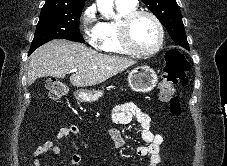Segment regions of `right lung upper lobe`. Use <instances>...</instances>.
I'll use <instances>...</instances> for the list:
<instances>
[{
	"mask_svg": "<svg viewBox=\"0 0 227 166\" xmlns=\"http://www.w3.org/2000/svg\"><path fill=\"white\" fill-rule=\"evenodd\" d=\"M85 0H46L42 9H82Z\"/></svg>",
	"mask_w": 227,
	"mask_h": 166,
	"instance_id": "obj_1",
	"label": "right lung upper lobe"
}]
</instances>
